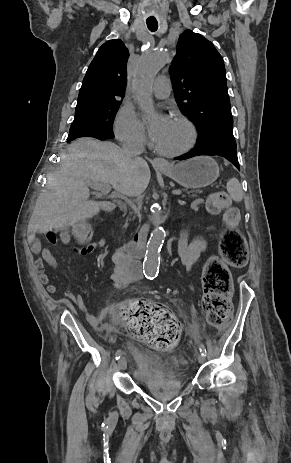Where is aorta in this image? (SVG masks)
I'll return each instance as SVG.
<instances>
[{
    "label": "aorta",
    "instance_id": "762f6f07",
    "mask_svg": "<svg viewBox=\"0 0 291 463\" xmlns=\"http://www.w3.org/2000/svg\"><path fill=\"white\" fill-rule=\"evenodd\" d=\"M169 56L158 51H147L141 58L133 80L135 98L140 109L150 114L154 110L152 100V86L158 72L169 62ZM163 223L161 208H153L154 230L151 233L147 244V251L143 262L144 274L148 277L158 273L160 264V249L165 239V230L161 226Z\"/></svg>",
    "mask_w": 291,
    "mask_h": 463
}]
</instances>
